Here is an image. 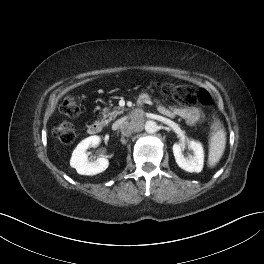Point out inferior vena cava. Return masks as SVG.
Segmentation results:
<instances>
[{"instance_id": "602c4592", "label": "inferior vena cava", "mask_w": 264, "mask_h": 264, "mask_svg": "<svg viewBox=\"0 0 264 264\" xmlns=\"http://www.w3.org/2000/svg\"><path fill=\"white\" fill-rule=\"evenodd\" d=\"M125 121H126V120H124V119L113 121V123H112V129H113V130H117L118 128L121 129V127H122V125H123V123H124Z\"/></svg>"}]
</instances>
